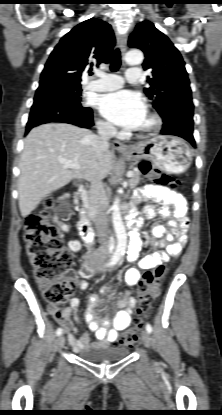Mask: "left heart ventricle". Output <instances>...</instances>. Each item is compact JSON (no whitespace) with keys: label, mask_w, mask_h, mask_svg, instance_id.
<instances>
[{"label":"left heart ventricle","mask_w":222,"mask_h":415,"mask_svg":"<svg viewBox=\"0 0 222 415\" xmlns=\"http://www.w3.org/2000/svg\"><path fill=\"white\" fill-rule=\"evenodd\" d=\"M147 124H148V119L145 115V117L143 118V120H142L141 124L139 125L138 129L146 126Z\"/></svg>","instance_id":"1"}]
</instances>
